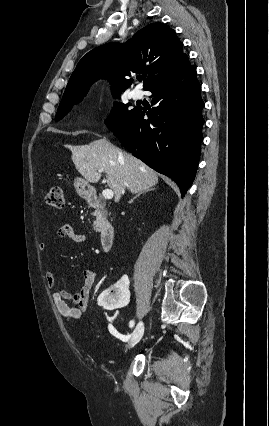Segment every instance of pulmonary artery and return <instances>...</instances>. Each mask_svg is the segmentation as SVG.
<instances>
[{
	"label": "pulmonary artery",
	"mask_w": 269,
	"mask_h": 426,
	"mask_svg": "<svg viewBox=\"0 0 269 426\" xmlns=\"http://www.w3.org/2000/svg\"><path fill=\"white\" fill-rule=\"evenodd\" d=\"M130 95L133 99L137 100L142 97V92L139 89H134L131 91Z\"/></svg>",
	"instance_id": "obj_1"
}]
</instances>
